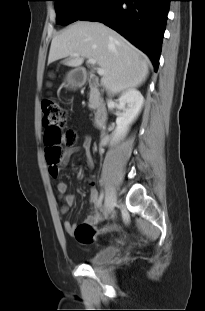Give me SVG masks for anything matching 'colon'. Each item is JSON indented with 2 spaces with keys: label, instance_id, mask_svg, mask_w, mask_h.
<instances>
[{
  "label": "colon",
  "instance_id": "colon-1",
  "mask_svg": "<svg viewBox=\"0 0 205 311\" xmlns=\"http://www.w3.org/2000/svg\"><path fill=\"white\" fill-rule=\"evenodd\" d=\"M42 124L44 127L45 157L50 168H57L64 156L62 146H72L76 141V133L66 130V113L63 107L52 99L42 101ZM110 227H104L106 232ZM97 230L89 223L77 225L72 235L81 243H91Z\"/></svg>",
  "mask_w": 205,
  "mask_h": 311
}]
</instances>
